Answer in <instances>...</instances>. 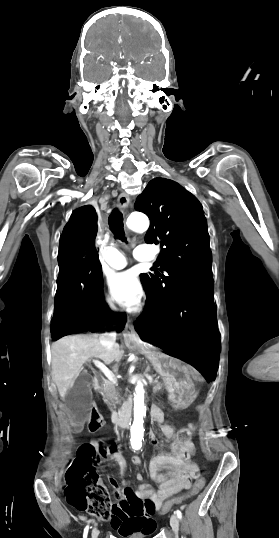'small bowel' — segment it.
Wrapping results in <instances>:
<instances>
[{"label": "small bowel", "mask_w": 279, "mask_h": 538, "mask_svg": "<svg viewBox=\"0 0 279 538\" xmlns=\"http://www.w3.org/2000/svg\"><path fill=\"white\" fill-rule=\"evenodd\" d=\"M154 421L160 426L161 432L166 438H174L175 429L173 426L163 424V415L161 413L154 416ZM152 444L157 446L158 440L152 434ZM97 446V442L91 443ZM170 455H159L155 457L149 468L151 479L157 484V488L153 489L149 485L140 484L137 488V495L140 497H150L157 507H160L163 502L170 496L179 493L182 490H187L191 485V476L188 473L187 462L185 459L186 446L179 444L175 440L171 444ZM115 460L120 466L121 475L126 476V463L120 455H117ZM132 463L140 465L142 460L135 456L132 458ZM139 481L142 480L140 474L137 475ZM111 526L121 535H127L132 532H142L150 534L155 530V521L152 516L121 518L114 516L110 519Z\"/></svg>", "instance_id": "1"}]
</instances>
